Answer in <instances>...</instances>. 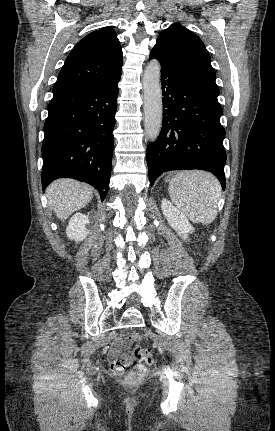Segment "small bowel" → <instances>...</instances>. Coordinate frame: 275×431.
<instances>
[{
  "label": "small bowel",
  "mask_w": 275,
  "mask_h": 431,
  "mask_svg": "<svg viewBox=\"0 0 275 431\" xmlns=\"http://www.w3.org/2000/svg\"><path fill=\"white\" fill-rule=\"evenodd\" d=\"M121 346H122V339L116 338L113 341L111 349L109 351V359H110L112 367L115 370L120 369L122 371L126 367V365L129 363V356L127 354H124L119 359ZM119 363H121V367H119Z\"/></svg>",
  "instance_id": "obj_1"
}]
</instances>
